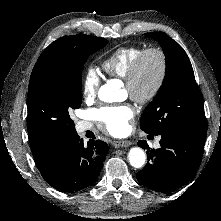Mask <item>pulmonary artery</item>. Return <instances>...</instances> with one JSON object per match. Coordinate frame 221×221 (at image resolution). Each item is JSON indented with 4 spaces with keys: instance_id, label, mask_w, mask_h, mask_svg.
Returning <instances> with one entry per match:
<instances>
[{
    "instance_id": "pulmonary-artery-1",
    "label": "pulmonary artery",
    "mask_w": 221,
    "mask_h": 221,
    "mask_svg": "<svg viewBox=\"0 0 221 221\" xmlns=\"http://www.w3.org/2000/svg\"><path fill=\"white\" fill-rule=\"evenodd\" d=\"M91 128V124L87 123V122H84V121H79L76 123V130L77 132L79 133H82L88 129Z\"/></svg>"
}]
</instances>
